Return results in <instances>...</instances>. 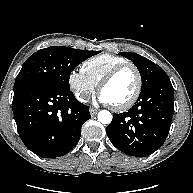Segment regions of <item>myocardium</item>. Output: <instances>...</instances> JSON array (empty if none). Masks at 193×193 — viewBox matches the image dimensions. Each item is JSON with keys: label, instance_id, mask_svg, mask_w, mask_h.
Here are the masks:
<instances>
[{"label": "myocardium", "instance_id": "obj_1", "mask_svg": "<svg viewBox=\"0 0 193 193\" xmlns=\"http://www.w3.org/2000/svg\"><path fill=\"white\" fill-rule=\"evenodd\" d=\"M132 69L137 77V84H136V88L134 93L132 94V96L124 103L119 104V105H112L110 104L111 108L115 111H124L127 110L129 108H131L136 101L138 100L141 91H142V87H143V79H142V75L140 70L138 69V67L136 65H134L131 62L128 63H124L121 65H118L116 67H114L112 70H110L99 82L98 84V91L101 93L102 89L109 83L111 82L115 76L117 74H119L121 71L125 70V69Z\"/></svg>", "mask_w": 193, "mask_h": 193}]
</instances>
